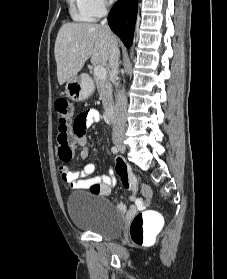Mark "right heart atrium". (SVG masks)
<instances>
[{"instance_id": "1", "label": "right heart atrium", "mask_w": 227, "mask_h": 279, "mask_svg": "<svg viewBox=\"0 0 227 279\" xmlns=\"http://www.w3.org/2000/svg\"><path fill=\"white\" fill-rule=\"evenodd\" d=\"M87 8L90 10L94 17H99L103 15L109 5L111 0H84Z\"/></svg>"}]
</instances>
